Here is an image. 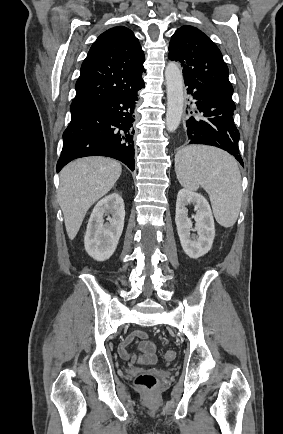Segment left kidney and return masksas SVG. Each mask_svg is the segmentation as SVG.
I'll list each match as a JSON object with an SVG mask.
<instances>
[{"mask_svg":"<svg viewBox=\"0 0 283 434\" xmlns=\"http://www.w3.org/2000/svg\"><path fill=\"white\" fill-rule=\"evenodd\" d=\"M188 204H193L196 210L194 229L187 215ZM175 223L181 246L190 258L197 259L208 253L215 237V225L210 205L204 196L187 189L180 190L176 201ZM191 230L197 232V235L191 236Z\"/></svg>","mask_w":283,"mask_h":434,"instance_id":"obj_1","label":"left kidney"}]
</instances>
